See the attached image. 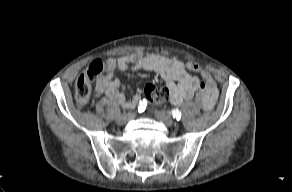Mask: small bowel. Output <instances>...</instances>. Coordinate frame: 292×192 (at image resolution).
I'll return each mask as SVG.
<instances>
[{
  "label": "small bowel",
  "mask_w": 292,
  "mask_h": 192,
  "mask_svg": "<svg viewBox=\"0 0 292 192\" xmlns=\"http://www.w3.org/2000/svg\"><path fill=\"white\" fill-rule=\"evenodd\" d=\"M106 74L100 76L95 84L97 97L105 95L123 108L134 107L139 95L127 99L123 90L125 86L118 79H114L115 71H150L161 76L165 81L169 93V101L175 106L196 98L205 109L211 110L218 97V89L212 75L194 63H184L180 60L168 58L156 53L135 52L126 56L108 60ZM193 73H198V76Z\"/></svg>",
  "instance_id": "1"
}]
</instances>
